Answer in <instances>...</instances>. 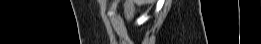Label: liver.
Instances as JSON below:
<instances>
[{
	"label": "liver",
	"instance_id": "obj_1",
	"mask_svg": "<svg viewBox=\"0 0 261 44\" xmlns=\"http://www.w3.org/2000/svg\"><path fill=\"white\" fill-rule=\"evenodd\" d=\"M137 0H126L124 2V15L127 20L132 19L134 12H135V5L134 2Z\"/></svg>",
	"mask_w": 261,
	"mask_h": 44
}]
</instances>
